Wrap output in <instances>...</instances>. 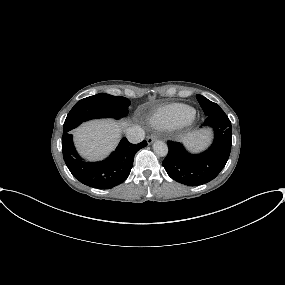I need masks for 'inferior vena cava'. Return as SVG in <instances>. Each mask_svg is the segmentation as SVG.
I'll return each instance as SVG.
<instances>
[{"label":"inferior vena cava","instance_id":"602c4592","mask_svg":"<svg viewBox=\"0 0 285 285\" xmlns=\"http://www.w3.org/2000/svg\"><path fill=\"white\" fill-rule=\"evenodd\" d=\"M126 138L133 144L140 143L145 138L144 130L139 126H133L126 129Z\"/></svg>","mask_w":285,"mask_h":285}]
</instances>
